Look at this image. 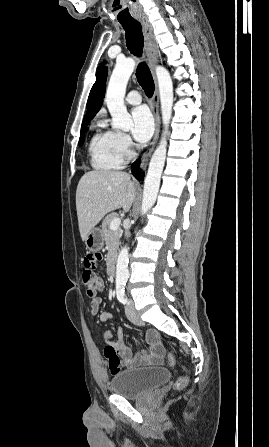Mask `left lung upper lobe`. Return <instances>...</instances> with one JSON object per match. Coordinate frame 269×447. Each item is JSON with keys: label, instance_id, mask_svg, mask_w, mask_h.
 <instances>
[{"label": "left lung upper lobe", "instance_id": "left-lung-upper-lobe-1", "mask_svg": "<svg viewBox=\"0 0 269 447\" xmlns=\"http://www.w3.org/2000/svg\"><path fill=\"white\" fill-rule=\"evenodd\" d=\"M100 69H101V67L97 70V73H96L97 80H98V74H99V72H100ZM96 84H97V81H96V83L94 84V86H93V88H92V90H91V92H90L89 99H90V97H91V95H92V92H93V90H94Z\"/></svg>", "mask_w": 269, "mask_h": 447}]
</instances>
